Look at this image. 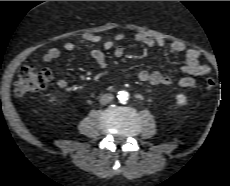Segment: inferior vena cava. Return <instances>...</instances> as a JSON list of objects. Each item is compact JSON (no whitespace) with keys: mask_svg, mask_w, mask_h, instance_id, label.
I'll return each instance as SVG.
<instances>
[{"mask_svg":"<svg viewBox=\"0 0 230 186\" xmlns=\"http://www.w3.org/2000/svg\"><path fill=\"white\" fill-rule=\"evenodd\" d=\"M113 98H114V96L110 93L104 94L100 98V103L103 105L107 104V103L111 102L113 100Z\"/></svg>","mask_w":230,"mask_h":186,"instance_id":"inferior-vena-cava-1","label":"inferior vena cava"}]
</instances>
